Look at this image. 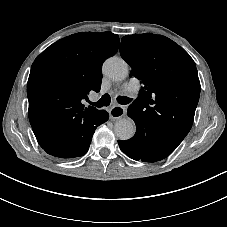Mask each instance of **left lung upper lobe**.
Here are the masks:
<instances>
[{
	"label": "left lung upper lobe",
	"mask_w": 227,
	"mask_h": 227,
	"mask_svg": "<svg viewBox=\"0 0 227 227\" xmlns=\"http://www.w3.org/2000/svg\"><path fill=\"white\" fill-rule=\"evenodd\" d=\"M130 76L143 83L127 114L153 141L173 150L191 129L200 96L195 62L171 39L151 33L122 38Z\"/></svg>",
	"instance_id": "1"
}]
</instances>
